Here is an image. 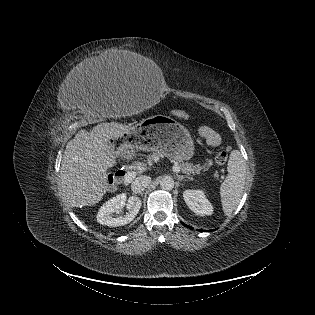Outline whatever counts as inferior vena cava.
<instances>
[{"label":"inferior vena cava","mask_w":315,"mask_h":315,"mask_svg":"<svg viewBox=\"0 0 315 315\" xmlns=\"http://www.w3.org/2000/svg\"><path fill=\"white\" fill-rule=\"evenodd\" d=\"M151 183V178L146 175H142L137 177L131 184V190L134 193H141L143 192Z\"/></svg>","instance_id":"602c4592"}]
</instances>
